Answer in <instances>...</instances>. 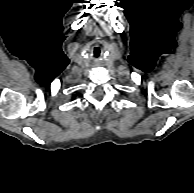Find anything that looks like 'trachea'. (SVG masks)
Segmentation results:
<instances>
[{
  "mask_svg": "<svg viewBox=\"0 0 194 193\" xmlns=\"http://www.w3.org/2000/svg\"><path fill=\"white\" fill-rule=\"evenodd\" d=\"M97 52L99 53V51H95V54H97Z\"/></svg>",
  "mask_w": 194,
  "mask_h": 193,
  "instance_id": "trachea-1",
  "label": "trachea"
}]
</instances>
